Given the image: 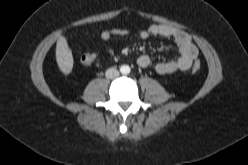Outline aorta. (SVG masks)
<instances>
[{
    "label": "aorta",
    "mask_w": 248,
    "mask_h": 165,
    "mask_svg": "<svg viewBox=\"0 0 248 165\" xmlns=\"http://www.w3.org/2000/svg\"><path fill=\"white\" fill-rule=\"evenodd\" d=\"M120 72L123 74V75H127L130 73V67L128 65H122L120 67Z\"/></svg>",
    "instance_id": "obj_1"
}]
</instances>
